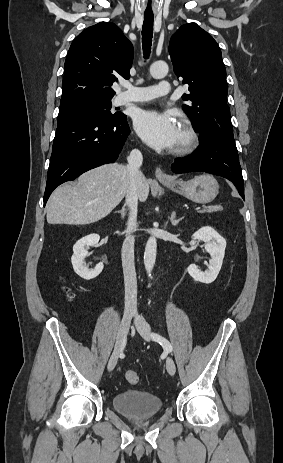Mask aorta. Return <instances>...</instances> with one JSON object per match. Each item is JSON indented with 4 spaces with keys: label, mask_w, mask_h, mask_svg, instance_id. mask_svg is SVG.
Listing matches in <instances>:
<instances>
[{
    "label": "aorta",
    "mask_w": 283,
    "mask_h": 463,
    "mask_svg": "<svg viewBox=\"0 0 283 463\" xmlns=\"http://www.w3.org/2000/svg\"><path fill=\"white\" fill-rule=\"evenodd\" d=\"M168 70L169 68H168L167 63L163 61L155 62L150 66V74L155 79L164 78L167 75ZM156 252H157V240L154 236H151L146 243L145 253H144V265H145V269L149 277H151V272L155 265Z\"/></svg>",
    "instance_id": "aorta-1"
}]
</instances>
